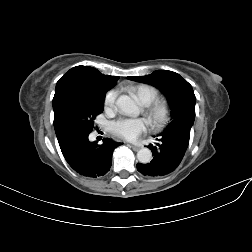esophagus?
<instances>
[{"instance_id": "34e87169", "label": "esophagus", "mask_w": 252, "mask_h": 252, "mask_svg": "<svg viewBox=\"0 0 252 252\" xmlns=\"http://www.w3.org/2000/svg\"><path fill=\"white\" fill-rule=\"evenodd\" d=\"M131 147L134 151H138L141 148L139 145H131Z\"/></svg>"}]
</instances>
